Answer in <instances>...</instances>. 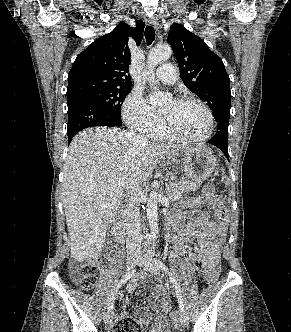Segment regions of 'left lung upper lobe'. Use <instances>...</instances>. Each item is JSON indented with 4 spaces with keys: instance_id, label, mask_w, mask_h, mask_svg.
I'll use <instances>...</instances> for the list:
<instances>
[{
    "instance_id": "5c2ea615",
    "label": "left lung upper lobe",
    "mask_w": 291,
    "mask_h": 332,
    "mask_svg": "<svg viewBox=\"0 0 291 332\" xmlns=\"http://www.w3.org/2000/svg\"><path fill=\"white\" fill-rule=\"evenodd\" d=\"M168 41L187 88L207 103L214 116L230 112V79L221 58L200 37L178 23L170 27Z\"/></svg>"
}]
</instances>
